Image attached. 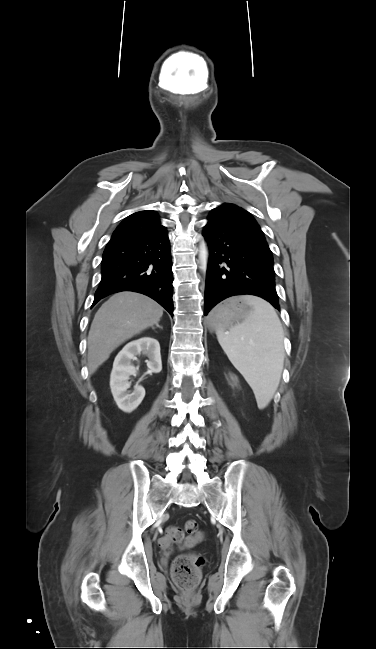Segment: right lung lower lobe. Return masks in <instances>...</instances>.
I'll use <instances>...</instances> for the list:
<instances>
[{"mask_svg":"<svg viewBox=\"0 0 376 649\" xmlns=\"http://www.w3.org/2000/svg\"><path fill=\"white\" fill-rule=\"evenodd\" d=\"M172 282L170 243L163 228L106 246L92 306L112 293L134 291L151 297L173 316Z\"/></svg>","mask_w":376,"mask_h":649,"instance_id":"obj_1","label":"right lung lower lobe"}]
</instances>
